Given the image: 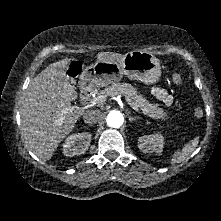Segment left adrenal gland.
Here are the masks:
<instances>
[{"label":"left adrenal gland","instance_id":"a2214340","mask_svg":"<svg viewBox=\"0 0 221 221\" xmlns=\"http://www.w3.org/2000/svg\"><path fill=\"white\" fill-rule=\"evenodd\" d=\"M128 119L130 122L136 121L137 119H139V117H132L131 115L128 116Z\"/></svg>","mask_w":221,"mask_h":221}]
</instances>
